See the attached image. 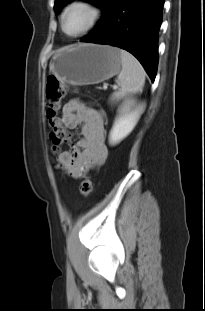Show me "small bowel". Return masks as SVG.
<instances>
[{
	"label": "small bowel",
	"mask_w": 205,
	"mask_h": 311,
	"mask_svg": "<svg viewBox=\"0 0 205 311\" xmlns=\"http://www.w3.org/2000/svg\"><path fill=\"white\" fill-rule=\"evenodd\" d=\"M62 120L65 128L79 129L80 138L69 150L61 152L57 161L71 177L80 178L103 164L108 156L104 117L100 111L74 98L64 105ZM68 135V141H71L73 133Z\"/></svg>",
	"instance_id": "obj_1"
}]
</instances>
